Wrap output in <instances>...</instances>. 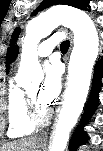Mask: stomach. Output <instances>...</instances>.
<instances>
[{
    "label": "stomach",
    "mask_w": 103,
    "mask_h": 151,
    "mask_svg": "<svg viewBox=\"0 0 103 151\" xmlns=\"http://www.w3.org/2000/svg\"><path fill=\"white\" fill-rule=\"evenodd\" d=\"M44 146H45L44 142H42L40 140L37 142V148H44Z\"/></svg>",
    "instance_id": "1"
}]
</instances>
